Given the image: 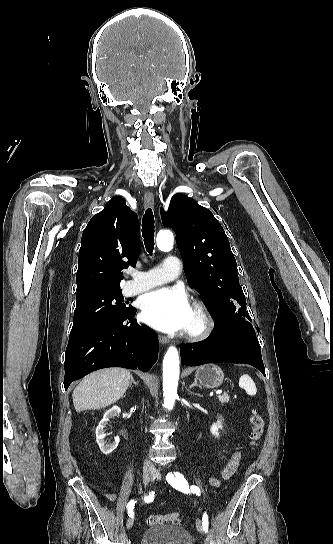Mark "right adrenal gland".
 I'll return each mask as SVG.
<instances>
[{
    "instance_id": "right-adrenal-gland-1",
    "label": "right adrenal gland",
    "mask_w": 333,
    "mask_h": 544,
    "mask_svg": "<svg viewBox=\"0 0 333 544\" xmlns=\"http://www.w3.org/2000/svg\"><path fill=\"white\" fill-rule=\"evenodd\" d=\"M132 384L138 385V382H136V381L134 380L133 376H131V382H130V385H129V386L131 387Z\"/></svg>"
}]
</instances>
